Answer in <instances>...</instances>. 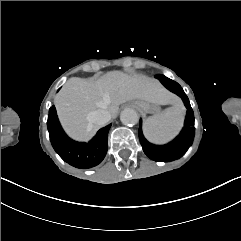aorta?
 Wrapping results in <instances>:
<instances>
[{
	"mask_svg": "<svg viewBox=\"0 0 241 241\" xmlns=\"http://www.w3.org/2000/svg\"><path fill=\"white\" fill-rule=\"evenodd\" d=\"M120 120L124 125L133 126L138 123L139 115L135 110L126 108L121 112Z\"/></svg>",
	"mask_w": 241,
	"mask_h": 241,
	"instance_id": "aorta-1",
	"label": "aorta"
}]
</instances>
